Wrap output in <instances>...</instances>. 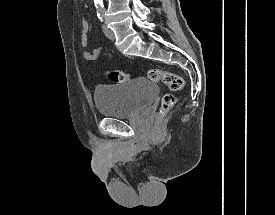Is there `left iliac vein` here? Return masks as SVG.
<instances>
[{
	"mask_svg": "<svg viewBox=\"0 0 275 215\" xmlns=\"http://www.w3.org/2000/svg\"><path fill=\"white\" fill-rule=\"evenodd\" d=\"M102 28H103V32L107 36V38H109L110 40L115 39V35H114L113 31L110 28H108L106 25H103Z\"/></svg>",
	"mask_w": 275,
	"mask_h": 215,
	"instance_id": "left-iliac-vein-1",
	"label": "left iliac vein"
}]
</instances>
